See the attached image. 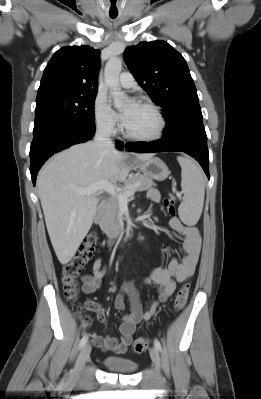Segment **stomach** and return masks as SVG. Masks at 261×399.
Segmentation results:
<instances>
[{
	"mask_svg": "<svg viewBox=\"0 0 261 399\" xmlns=\"http://www.w3.org/2000/svg\"><path fill=\"white\" fill-rule=\"evenodd\" d=\"M137 167L144 175L158 181H163L170 173L167 165L157 157L138 162Z\"/></svg>",
	"mask_w": 261,
	"mask_h": 399,
	"instance_id": "1",
	"label": "stomach"
}]
</instances>
